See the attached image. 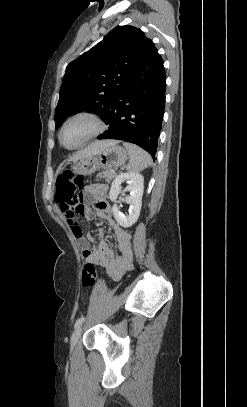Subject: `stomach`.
Wrapping results in <instances>:
<instances>
[{"instance_id":"1","label":"stomach","mask_w":247,"mask_h":407,"mask_svg":"<svg viewBox=\"0 0 247 407\" xmlns=\"http://www.w3.org/2000/svg\"><path fill=\"white\" fill-rule=\"evenodd\" d=\"M127 159V150L120 145L112 144L97 154L74 162L71 170L76 175H91L98 169H111L122 166Z\"/></svg>"}]
</instances>
